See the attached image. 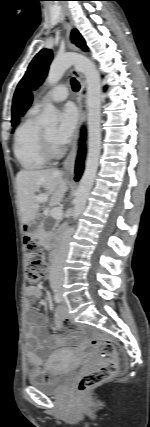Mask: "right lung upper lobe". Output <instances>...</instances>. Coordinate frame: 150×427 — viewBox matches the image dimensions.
Here are the masks:
<instances>
[{"mask_svg": "<svg viewBox=\"0 0 150 427\" xmlns=\"http://www.w3.org/2000/svg\"><path fill=\"white\" fill-rule=\"evenodd\" d=\"M31 103H32V95L29 94L24 101V104H23V107L21 110V115H23L25 113V111L29 108Z\"/></svg>", "mask_w": 150, "mask_h": 427, "instance_id": "obj_1", "label": "right lung upper lobe"}]
</instances>
